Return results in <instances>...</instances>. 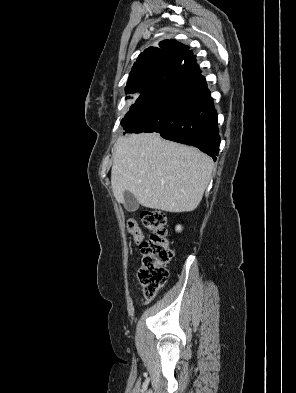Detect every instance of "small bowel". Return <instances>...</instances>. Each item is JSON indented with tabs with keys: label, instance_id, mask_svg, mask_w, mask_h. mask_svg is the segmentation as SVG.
<instances>
[{
	"label": "small bowel",
	"instance_id": "small-bowel-1",
	"mask_svg": "<svg viewBox=\"0 0 296 393\" xmlns=\"http://www.w3.org/2000/svg\"><path fill=\"white\" fill-rule=\"evenodd\" d=\"M155 299V296L154 297H141V302H142V304H148V303H150L151 301H153Z\"/></svg>",
	"mask_w": 296,
	"mask_h": 393
}]
</instances>
